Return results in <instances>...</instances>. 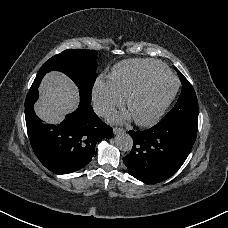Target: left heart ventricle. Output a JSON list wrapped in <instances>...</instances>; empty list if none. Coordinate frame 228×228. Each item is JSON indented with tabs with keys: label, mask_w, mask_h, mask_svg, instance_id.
<instances>
[{
	"label": "left heart ventricle",
	"mask_w": 228,
	"mask_h": 228,
	"mask_svg": "<svg viewBox=\"0 0 228 228\" xmlns=\"http://www.w3.org/2000/svg\"><path fill=\"white\" fill-rule=\"evenodd\" d=\"M173 87L174 81L171 79L157 81L132 101L130 111L138 119H149L168 97Z\"/></svg>",
	"instance_id": "left-heart-ventricle-1"
}]
</instances>
